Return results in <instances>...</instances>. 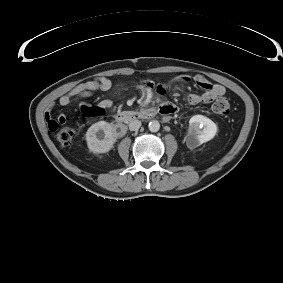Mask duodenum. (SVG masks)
Listing matches in <instances>:
<instances>
[{"mask_svg":"<svg viewBox=\"0 0 283 283\" xmlns=\"http://www.w3.org/2000/svg\"><path fill=\"white\" fill-rule=\"evenodd\" d=\"M175 109V108H173ZM157 112H162L161 109L156 110L154 108H149V109H143L140 111H126L117 114L116 116V124L124 128L125 124L130 122V121H135V120H144V119H150L156 115ZM174 112V111H173ZM172 112L168 110V115L171 114Z\"/></svg>","mask_w":283,"mask_h":283,"instance_id":"duodenum-1","label":"duodenum"}]
</instances>
